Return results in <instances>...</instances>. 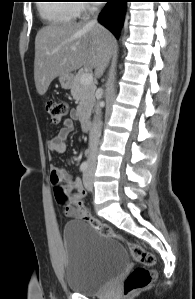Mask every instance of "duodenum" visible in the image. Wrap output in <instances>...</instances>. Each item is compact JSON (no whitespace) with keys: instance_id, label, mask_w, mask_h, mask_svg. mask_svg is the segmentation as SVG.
Masks as SVG:
<instances>
[{"instance_id":"410a0bca","label":"duodenum","mask_w":195,"mask_h":299,"mask_svg":"<svg viewBox=\"0 0 195 299\" xmlns=\"http://www.w3.org/2000/svg\"><path fill=\"white\" fill-rule=\"evenodd\" d=\"M79 119L84 128H89L91 125V118L87 113H81Z\"/></svg>"}]
</instances>
